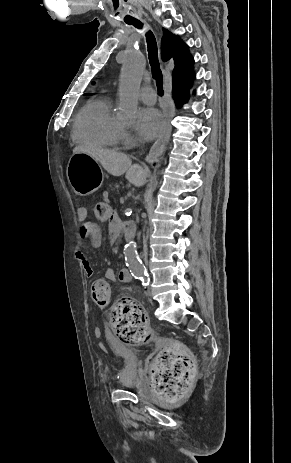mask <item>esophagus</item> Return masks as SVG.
I'll return each mask as SVG.
<instances>
[{"mask_svg": "<svg viewBox=\"0 0 291 463\" xmlns=\"http://www.w3.org/2000/svg\"><path fill=\"white\" fill-rule=\"evenodd\" d=\"M168 97H166V101ZM164 130L159 135L158 139L152 145L148 155L145 158V161L148 163H152L158 159V157L164 151L170 137L171 133V125H170V117L167 111L164 112Z\"/></svg>", "mask_w": 291, "mask_h": 463, "instance_id": "obj_1", "label": "esophagus"}]
</instances>
